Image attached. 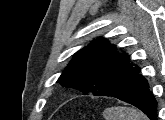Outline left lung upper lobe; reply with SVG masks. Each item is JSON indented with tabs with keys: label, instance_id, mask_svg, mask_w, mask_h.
Returning a JSON list of instances; mask_svg holds the SVG:
<instances>
[{
	"label": "left lung upper lobe",
	"instance_id": "1",
	"mask_svg": "<svg viewBox=\"0 0 165 120\" xmlns=\"http://www.w3.org/2000/svg\"><path fill=\"white\" fill-rule=\"evenodd\" d=\"M130 67L127 54H118L115 46L98 38L75 53L57 82L84 94L107 96L119 87Z\"/></svg>",
	"mask_w": 165,
	"mask_h": 120
}]
</instances>
